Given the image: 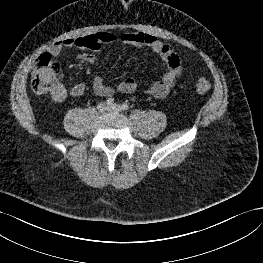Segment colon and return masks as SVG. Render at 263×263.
<instances>
[{
  "instance_id": "1",
  "label": "colon",
  "mask_w": 263,
  "mask_h": 263,
  "mask_svg": "<svg viewBox=\"0 0 263 263\" xmlns=\"http://www.w3.org/2000/svg\"><path fill=\"white\" fill-rule=\"evenodd\" d=\"M59 73V64L52 56L48 53L42 54L37 58L31 73L33 91L41 95L51 94L58 85ZM194 87L198 93L204 94L210 90L211 84L206 78H199Z\"/></svg>"
}]
</instances>
